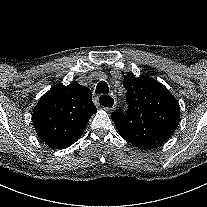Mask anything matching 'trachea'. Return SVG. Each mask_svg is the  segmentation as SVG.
Here are the masks:
<instances>
[{
    "instance_id": "obj_1",
    "label": "trachea",
    "mask_w": 207,
    "mask_h": 207,
    "mask_svg": "<svg viewBox=\"0 0 207 207\" xmlns=\"http://www.w3.org/2000/svg\"><path fill=\"white\" fill-rule=\"evenodd\" d=\"M109 92V88L106 82L101 81L96 86V94L105 93L107 94ZM99 102L104 107H111L114 103V100L110 96L103 95L99 98Z\"/></svg>"
}]
</instances>
